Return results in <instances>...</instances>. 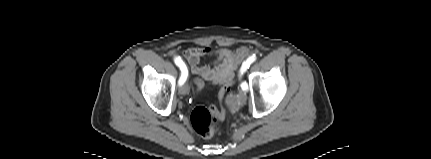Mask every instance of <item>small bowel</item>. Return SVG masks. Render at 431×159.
Returning a JSON list of instances; mask_svg holds the SVG:
<instances>
[{"label": "small bowel", "mask_w": 431, "mask_h": 159, "mask_svg": "<svg viewBox=\"0 0 431 159\" xmlns=\"http://www.w3.org/2000/svg\"><path fill=\"white\" fill-rule=\"evenodd\" d=\"M251 51L247 47H239L236 50L220 48L216 51L210 47H192L183 50L182 56L191 67V72L196 78L214 85H225L234 77L239 65L250 55ZM216 55L217 62L214 66H201L200 60L204 56Z\"/></svg>", "instance_id": "c3829d8e"}]
</instances>
